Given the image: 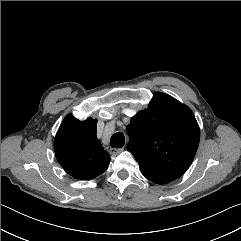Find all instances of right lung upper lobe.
<instances>
[{"instance_id":"right-lung-upper-lobe-1","label":"right lung upper lobe","mask_w":241,"mask_h":241,"mask_svg":"<svg viewBox=\"0 0 241 241\" xmlns=\"http://www.w3.org/2000/svg\"><path fill=\"white\" fill-rule=\"evenodd\" d=\"M97 120L68 114L55 137V155L63 169L77 179H92L108 167L110 157L96 136Z\"/></svg>"}]
</instances>
